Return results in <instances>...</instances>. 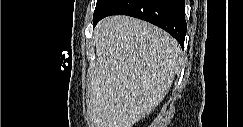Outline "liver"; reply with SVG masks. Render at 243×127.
Here are the masks:
<instances>
[{
    "mask_svg": "<svg viewBox=\"0 0 243 127\" xmlns=\"http://www.w3.org/2000/svg\"><path fill=\"white\" fill-rule=\"evenodd\" d=\"M96 67L87 106L93 127H133L168 93L182 50L164 30L128 16H110L94 30Z\"/></svg>",
    "mask_w": 243,
    "mask_h": 127,
    "instance_id": "obj_1",
    "label": "liver"
}]
</instances>
